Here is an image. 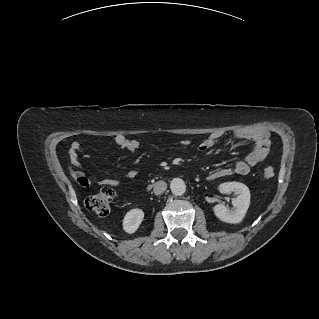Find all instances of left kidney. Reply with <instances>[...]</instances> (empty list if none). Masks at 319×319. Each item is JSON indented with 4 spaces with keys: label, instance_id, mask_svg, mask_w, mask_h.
<instances>
[{
    "label": "left kidney",
    "instance_id": "left-kidney-1",
    "mask_svg": "<svg viewBox=\"0 0 319 319\" xmlns=\"http://www.w3.org/2000/svg\"><path fill=\"white\" fill-rule=\"evenodd\" d=\"M219 191L224 194L236 195L232 199L233 208L229 209L224 204H217L213 207L214 214L221 221L226 223H240L250 205V190L240 182H225L219 186Z\"/></svg>",
    "mask_w": 319,
    "mask_h": 319
}]
</instances>
